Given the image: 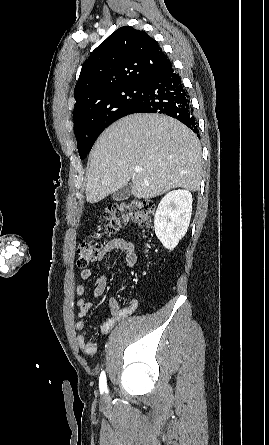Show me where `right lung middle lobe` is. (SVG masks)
Wrapping results in <instances>:
<instances>
[{"mask_svg":"<svg viewBox=\"0 0 269 445\" xmlns=\"http://www.w3.org/2000/svg\"><path fill=\"white\" fill-rule=\"evenodd\" d=\"M146 91V84L122 86L91 98L74 111V130L81 159L110 124L131 113Z\"/></svg>","mask_w":269,"mask_h":445,"instance_id":"right-lung-middle-lobe-1","label":"right lung middle lobe"}]
</instances>
